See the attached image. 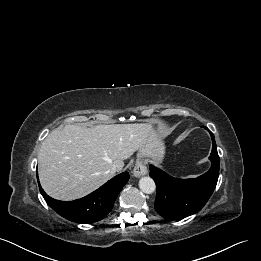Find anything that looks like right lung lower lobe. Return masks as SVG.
I'll list each match as a JSON object with an SVG mask.
<instances>
[{
	"label": "right lung lower lobe",
	"instance_id": "right-lung-lower-lobe-1",
	"mask_svg": "<svg viewBox=\"0 0 261 261\" xmlns=\"http://www.w3.org/2000/svg\"><path fill=\"white\" fill-rule=\"evenodd\" d=\"M129 179L123 172L91 194L74 201H59L39 189L47 204L62 217L78 223H92L103 219L113 208L114 202Z\"/></svg>",
	"mask_w": 261,
	"mask_h": 261
}]
</instances>
